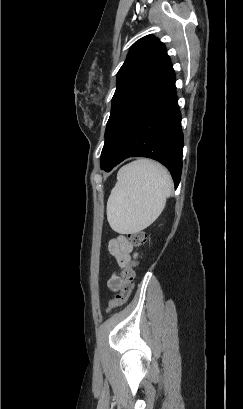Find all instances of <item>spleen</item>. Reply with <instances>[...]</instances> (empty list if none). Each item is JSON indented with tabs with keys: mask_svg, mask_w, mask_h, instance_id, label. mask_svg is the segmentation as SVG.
<instances>
[{
	"mask_svg": "<svg viewBox=\"0 0 243 409\" xmlns=\"http://www.w3.org/2000/svg\"><path fill=\"white\" fill-rule=\"evenodd\" d=\"M173 182L168 171L149 159L123 166L107 202V220L119 233L139 232L161 214L171 195Z\"/></svg>",
	"mask_w": 243,
	"mask_h": 409,
	"instance_id": "3e777b00",
	"label": "spleen"
}]
</instances>
